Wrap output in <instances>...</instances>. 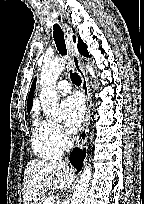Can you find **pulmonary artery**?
Returning a JSON list of instances; mask_svg holds the SVG:
<instances>
[{"label": "pulmonary artery", "mask_w": 144, "mask_h": 204, "mask_svg": "<svg viewBox=\"0 0 144 204\" xmlns=\"http://www.w3.org/2000/svg\"><path fill=\"white\" fill-rule=\"evenodd\" d=\"M56 90L60 94H68L71 91V85L67 80H61L58 82Z\"/></svg>", "instance_id": "obj_1"}]
</instances>
